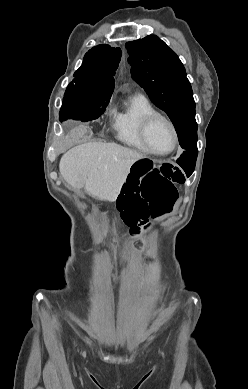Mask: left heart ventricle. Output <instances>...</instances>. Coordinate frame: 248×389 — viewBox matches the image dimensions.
Listing matches in <instances>:
<instances>
[{"mask_svg":"<svg viewBox=\"0 0 248 389\" xmlns=\"http://www.w3.org/2000/svg\"><path fill=\"white\" fill-rule=\"evenodd\" d=\"M148 142L155 151H168L172 147V135L169 126L162 120L154 121L148 130Z\"/></svg>","mask_w":248,"mask_h":389,"instance_id":"1","label":"left heart ventricle"}]
</instances>
